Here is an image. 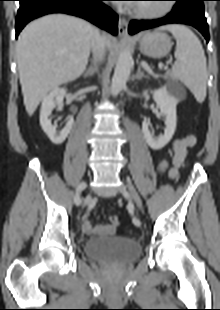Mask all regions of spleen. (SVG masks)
<instances>
[{
	"label": "spleen",
	"mask_w": 220,
	"mask_h": 310,
	"mask_svg": "<svg viewBox=\"0 0 220 310\" xmlns=\"http://www.w3.org/2000/svg\"><path fill=\"white\" fill-rule=\"evenodd\" d=\"M159 30L171 32L176 39V61L172 66L174 76L190 89L199 103H202L206 97L208 73L200 40L188 27L180 24L166 25Z\"/></svg>",
	"instance_id": "1"
}]
</instances>
